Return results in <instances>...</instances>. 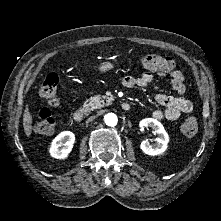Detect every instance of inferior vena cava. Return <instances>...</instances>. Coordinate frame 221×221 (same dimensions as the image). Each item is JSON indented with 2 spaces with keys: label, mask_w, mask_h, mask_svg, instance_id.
I'll list each match as a JSON object with an SVG mask.
<instances>
[{
  "label": "inferior vena cava",
  "mask_w": 221,
  "mask_h": 221,
  "mask_svg": "<svg viewBox=\"0 0 221 221\" xmlns=\"http://www.w3.org/2000/svg\"><path fill=\"white\" fill-rule=\"evenodd\" d=\"M96 118V116H91L86 120V123L92 122L94 119Z\"/></svg>",
  "instance_id": "602c4592"
}]
</instances>
